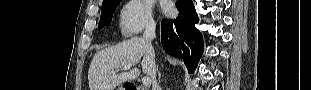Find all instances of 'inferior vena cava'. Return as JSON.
Wrapping results in <instances>:
<instances>
[{
    "mask_svg": "<svg viewBox=\"0 0 311 90\" xmlns=\"http://www.w3.org/2000/svg\"><path fill=\"white\" fill-rule=\"evenodd\" d=\"M155 30H156L155 24L147 25L143 34V39L146 40L143 42V47L146 49V58L148 64L150 65V68L152 69L151 78L153 81V86L154 88H158V85L156 83L157 55L156 50L152 48V40L156 37Z\"/></svg>",
    "mask_w": 311,
    "mask_h": 90,
    "instance_id": "inferior-vena-cava-1",
    "label": "inferior vena cava"
}]
</instances>
